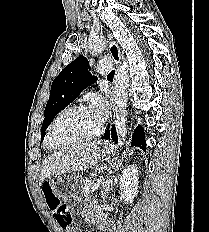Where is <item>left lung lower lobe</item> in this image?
Masks as SVG:
<instances>
[{"mask_svg":"<svg viewBox=\"0 0 209 232\" xmlns=\"http://www.w3.org/2000/svg\"><path fill=\"white\" fill-rule=\"evenodd\" d=\"M104 139L112 138L116 143L118 142L117 132L115 130V127L113 126L110 128L108 126L107 129H105V134L103 136ZM132 146H138L142 148L143 150H146V141H145V134L144 129L140 125L135 129L133 136H132Z\"/></svg>","mask_w":209,"mask_h":232,"instance_id":"1","label":"left lung lower lobe"}]
</instances>
